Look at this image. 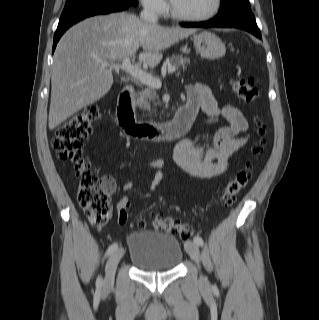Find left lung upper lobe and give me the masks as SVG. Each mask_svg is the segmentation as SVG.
<instances>
[{"label":"left lung upper lobe","mask_w":319,"mask_h":320,"mask_svg":"<svg viewBox=\"0 0 319 320\" xmlns=\"http://www.w3.org/2000/svg\"><path fill=\"white\" fill-rule=\"evenodd\" d=\"M234 9L250 10L251 7L248 0H221V8L218 13H225Z\"/></svg>","instance_id":"obj_1"}]
</instances>
